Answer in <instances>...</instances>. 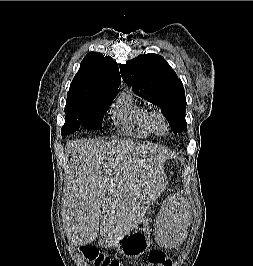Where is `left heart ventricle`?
<instances>
[{
    "instance_id": "obj_1",
    "label": "left heart ventricle",
    "mask_w": 253,
    "mask_h": 266,
    "mask_svg": "<svg viewBox=\"0 0 253 266\" xmlns=\"http://www.w3.org/2000/svg\"><path fill=\"white\" fill-rule=\"evenodd\" d=\"M158 129H159L160 131L163 130V126H162L160 123L158 124Z\"/></svg>"
}]
</instances>
